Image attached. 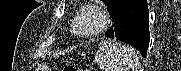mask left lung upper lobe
I'll return each mask as SVG.
<instances>
[{
	"instance_id": "obj_1",
	"label": "left lung upper lobe",
	"mask_w": 181,
	"mask_h": 71,
	"mask_svg": "<svg viewBox=\"0 0 181 71\" xmlns=\"http://www.w3.org/2000/svg\"><path fill=\"white\" fill-rule=\"evenodd\" d=\"M107 6L108 10H110L111 6L115 3L116 0H102Z\"/></svg>"
}]
</instances>
